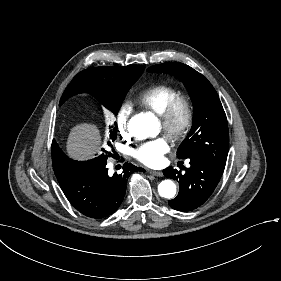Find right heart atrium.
Returning <instances> with one entry per match:
<instances>
[{
  "label": "right heart atrium",
  "instance_id": "d8ad5b80",
  "mask_svg": "<svg viewBox=\"0 0 281 281\" xmlns=\"http://www.w3.org/2000/svg\"><path fill=\"white\" fill-rule=\"evenodd\" d=\"M132 106L129 103H122L115 115L114 122L119 133L126 139H140L142 128L130 121Z\"/></svg>",
  "mask_w": 281,
  "mask_h": 281
}]
</instances>
